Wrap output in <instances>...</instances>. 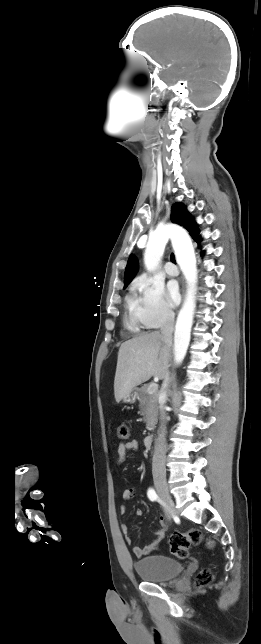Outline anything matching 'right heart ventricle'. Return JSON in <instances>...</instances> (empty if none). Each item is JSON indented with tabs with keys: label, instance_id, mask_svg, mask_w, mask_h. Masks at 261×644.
<instances>
[{
	"label": "right heart ventricle",
	"instance_id": "1",
	"mask_svg": "<svg viewBox=\"0 0 261 644\" xmlns=\"http://www.w3.org/2000/svg\"><path fill=\"white\" fill-rule=\"evenodd\" d=\"M127 310L128 314L125 318V326L131 331H138L139 325L141 324L135 313V302L134 298L129 296L127 298Z\"/></svg>",
	"mask_w": 261,
	"mask_h": 644
}]
</instances>
